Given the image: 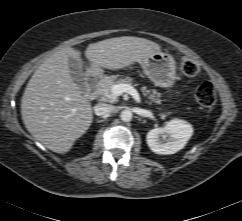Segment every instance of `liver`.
Segmentation results:
<instances>
[{"label": "liver", "instance_id": "6515ba94", "mask_svg": "<svg viewBox=\"0 0 242 221\" xmlns=\"http://www.w3.org/2000/svg\"><path fill=\"white\" fill-rule=\"evenodd\" d=\"M159 44L123 36L89 44L85 51L91 62L87 75L99 76L100 68L119 70L160 52ZM83 63L80 52L64 47L48 57L34 72L21 100V115L28 132L56 153L68 152L93 120L89 100L82 95L69 71V58Z\"/></svg>", "mask_w": 242, "mask_h": 221}]
</instances>
